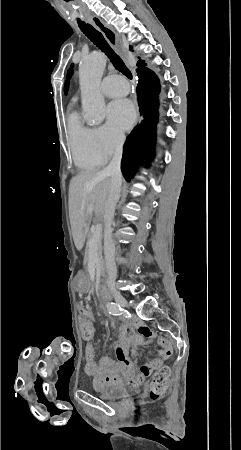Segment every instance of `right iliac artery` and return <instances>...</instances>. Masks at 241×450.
<instances>
[{"instance_id":"obj_1","label":"right iliac artery","mask_w":241,"mask_h":450,"mask_svg":"<svg viewBox=\"0 0 241 450\" xmlns=\"http://www.w3.org/2000/svg\"><path fill=\"white\" fill-rule=\"evenodd\" d=\"M107 308H108V311L110 314H113L116 316L120 315L121 311H122V308L120 307V305H118L114 302L108 303Z\"/></svg>"}]
</instances>
